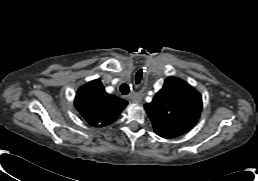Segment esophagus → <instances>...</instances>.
Segmentation results:
<instances>
[{"mask_svg": "<svg viewBox=\"0 0 258 181\" xmlns=\"http://www.w3.org/2000/svg\"><path fill=\"white\" fill-rule=\"evenodd\" d=\"M129 99L135 103H139L141 101V97L137 93L130 94Z\"/></svg>", "mask_w": 258, "mask_h": 181, "instance_id": "obj_1", "label": "esophagus"}]
</instances>
